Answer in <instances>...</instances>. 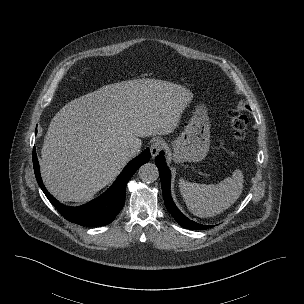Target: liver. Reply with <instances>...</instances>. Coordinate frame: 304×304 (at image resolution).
I'll return each instance as SVG.
<instances>
[{
  "label": "liver",
  "instance_id": "1",
  "mask_svg": "<svg viewBox=\"0 0 304 304\" xmlns=\"http://www.w3.org/2000/svg\"><path fill=\"white\" fill-rule=\"evenodd\" d=\"M193 98L176 83L150 78L105 85L64 105L41 150V175L63 201L83 202L111 183L139 137L167 135Z\"/></svg>",
  "mask_w": 304,
  "mask_h": 304
}]
</instances>
